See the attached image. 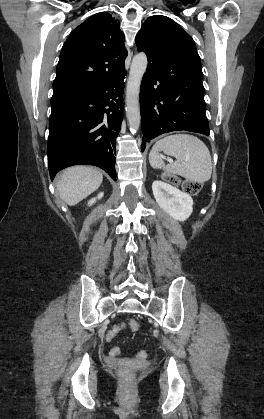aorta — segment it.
Here are the masks:
<instances>
[{
	"mask_svg": "<svg viewBox=\"0 0 264 419\" xmlns=\"http://www.w3.org/2000/svg\"><path fill=\"white\" fill-rule=\"evenodd\" d=\"M147 64V56L139 53L133 57L130 67L126 88V115L131 132H136L140 126L139 91Z\"/></svg>",
	"mask_w": 264,
	"mask_h": 419,
	"instance_id": "762f6f07",
	"label": "aorta"
}]
</instances>
